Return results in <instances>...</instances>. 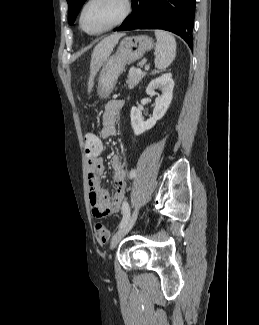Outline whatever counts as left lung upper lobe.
<instances>
[{"label": "left lung upper lobe", "mask_w": 259, "mask_h": 325, "mask_svg": "<svg viewBox=\"0 0 259 325\" xmlns=\"http://www.w3.org/2000/svg\"><path fill=\"white\" fill-rule=\"evenodd\" d=\"M86 0H67L68 2V22L72 25L76 16Z\"/></svg>", "instance_id": "obj_1"}]
</instances>
